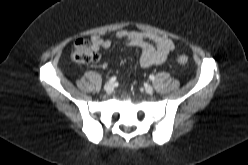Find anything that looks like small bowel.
<instances>
[{
  "mask_svg": "<svg viewBox=\"0 0 248 165\" xmlns=\"http://www.w3.org/2000/svg\"><path fill=\"white\" fill-rule=\"evenodd\" d=\"M116 39H121L126 45L141 50L138 67L146 69L165 63L169 54L175 49V43L164 36L136 30H119L115 33ZM90 40L95 49H108L112 40L101 35H92Z\"/></svg>",
  "mask_w": 248,
  "mask_h": 165,
  "instance_id": "obj_1",
  "label": "small bowel"
}]
</instances>
